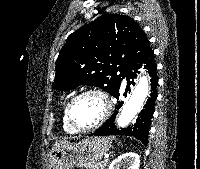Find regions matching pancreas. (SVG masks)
<instances>
[{
  "label": "pancreas",
  "mask_w": 200,
  "mask_h": 169,
  "mask_svg": "<svg viewBox=\"0 0 200 169\" xmlns=\"http://www.w3.org/2000/svg\"><path fill=\"white\" fill-rule=\"evenodd\" d=\"M108 164V160H104L101 162H97L93 165L90 166H85L86 168H91V169H105L106 165Z\"/></svg>",
  "instance_id": "1"
}]
</instances>
